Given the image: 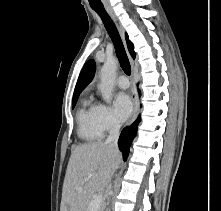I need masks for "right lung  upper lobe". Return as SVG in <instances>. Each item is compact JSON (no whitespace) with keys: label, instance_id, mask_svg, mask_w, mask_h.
<instances>
[{"label":"right lung upper lobe","instance_id":"obj_1","mask_svg":"<svg viewBox=\"0 0 221 211\" xmlns=\"http://www.w3.org/2000/svg\"><path fill=\"white\" fill-rule=\"evenodd\" d=\"M126 41H127V45H128V49L130 51V54L132 55L133 58H135V52H134V47L131 41H129L128 35L126 34ZM95 62L94 60H88L77 81L75 90H74V95L73 97L79 96V94L82 92V90L91 82V80L94 77V73H95Z\"/></svg>","mask_w":221,"mask_h":211}]
</instances>
